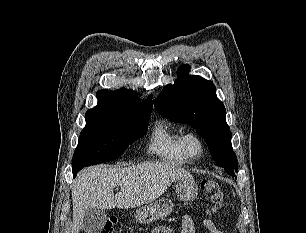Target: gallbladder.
Segmentation results:
<instances>
[{
  "label": "gallbladder",
  "instance_id": "1",
  "mask_svg": "<svg viewBox=\"0 0 306 233\" xmlns=\"http://www.w3.org/2000/svg\"><path fill=\"white\" fill-rule=\"evenodd\" d=\"M107 220L105 210L99 208L89 209L83 219L82 230L85 233H100Z\"/></svg>",
  "mask_w": 306,
  "mask_h": 233
}]
</instances>
